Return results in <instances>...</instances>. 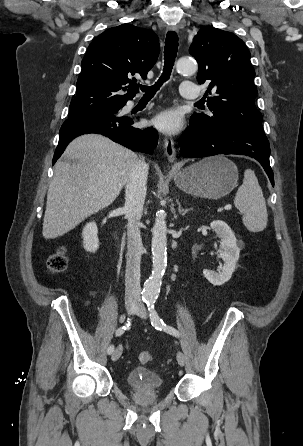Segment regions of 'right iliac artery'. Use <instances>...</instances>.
I'll return each mask as SVG.
<instances>
[{"mask_svg": "<svg viewBox=\"0 0 303 446\" xmlns=\"http://www.w3.org/2000/svg\"><path fill=\"white\" fill-rule=\"evenodd\" d=\"M129 326H130V319L127 321L125 325L117 329L116 336H121L126 331V329L129 328ZM113 351H114V346L110 345L107 349L108 354H112Z\"/></svg>", "mask_w": 303, "mask_h": 446, "instance_id": "1", "label": "right iliac artery"}]
</instances>
